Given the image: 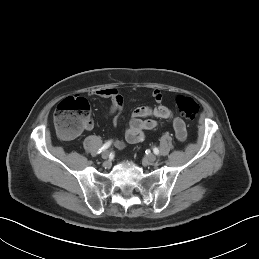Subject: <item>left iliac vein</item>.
Wrapping results in <instances>:
<instances>
[{
    "label": "left iliac vein",
    "mask_w": 259,
    "mask_h": 259,
    "mask_svg": "<svg viewBox=\"0 0 259 259\" xmlns=\"http://www.w3.org/2000/svg\"><path fill=\"white\" fill-rule=\"evenodd\" d=\"M156 159H157V157H156V155H154V154H149L148 156H146V160L148 161V162H155L156 161Z\"/></svg>",
    "instance_id": "4c4485c4"
}]
</instances>
